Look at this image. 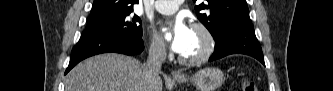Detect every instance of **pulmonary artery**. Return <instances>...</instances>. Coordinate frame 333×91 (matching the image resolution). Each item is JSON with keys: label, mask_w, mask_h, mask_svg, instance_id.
<instances>
[{"label": "pulmonary artery", "mask_w": 333, "mask_h": 91, "mask_svg": "<svg viewBox=\"0 0 333 91\" xmlns=\"http://www.w3.org/2000/svg\"><path fill=\"white\" fill-rule=\"evenodd\" d=\"M182 1H170V0H159L154 4V8L157 12L162 14L174 13Z\"/></svg>", "instance_id": "e3ab8cb5"}]
</instances>
